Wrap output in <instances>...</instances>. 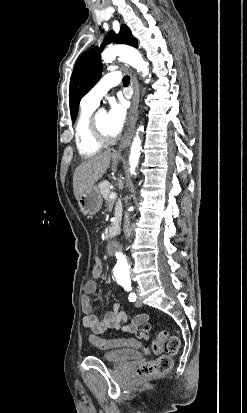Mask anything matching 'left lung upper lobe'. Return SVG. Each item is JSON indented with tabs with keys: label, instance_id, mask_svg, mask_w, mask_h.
Instances as JSON below:
<instances>
[{
	"label": "left lung upper lobe",
	"instance_id": "left-lung-upper-lobe-1",
	"mask_svg": "<svg viewBox=\"0 0 247 413\" xmlns=\"http://www.w3.org/2000/svg\"><path fill=\"white\" fill-rule=\"evenodd\" d=\"M111 41L138 47V42L131 34L130 29L123 24L118 35H115L113 31L109 32L100 48H92L79 57L70 79L69 89V104L73 121L76 118L81 98L101 77L102 63L100 61V54L104 46Z\"/></svg>",
	"mask_w": 247,
	"mask_h": 413
}]
</instances>
